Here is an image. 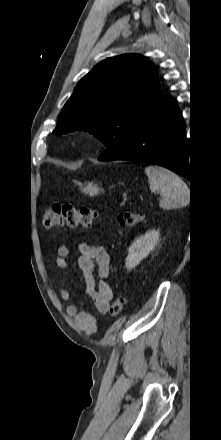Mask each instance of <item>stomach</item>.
I'll return each instance as SVG.
<instances>
[{"instance_id":"0dacf381","label":"stomach","mask_w":221,"mask_h":440,"mask_svg":"<svg viewBox=\"0 0 221 440\" xmlns=\"http://www.w3.org/2000/svg\"><path fill=\"white\" fill-rule=\"evenodd\" d=\"M80 189L83 193L89 194L90 196L98 195L102 189L93 182H88L85 184L79 183Z\"/></svg>"}]
</instances>
